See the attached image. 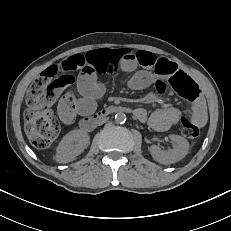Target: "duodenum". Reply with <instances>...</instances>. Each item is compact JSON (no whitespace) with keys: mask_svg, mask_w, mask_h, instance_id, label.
I'll list each match as a JSON object with an SVG mask.
<instances>
[{"mask_svg":"<svg viewBox=\"0 0 231 231\" xmlns=\"http://www.w3.org/2000/svg\"><path fill=\"white\" fill-rule=\"evenodd\" d=\"M116 113H129V114H133L135 116L138 115L137 110L132 109L128 106L111 105V106L105 107V108L101 109L100 111L84 118L80 122V128H81V130H83L85 132H90L98 125V121L101 118L110 117L111 115L116 114Z\"/></svg>","mask_w":231,"mask_h":231,"instance_id":"1","label":"duodenum"}]
</instances>
